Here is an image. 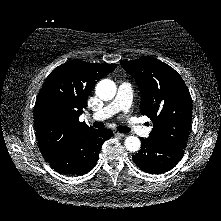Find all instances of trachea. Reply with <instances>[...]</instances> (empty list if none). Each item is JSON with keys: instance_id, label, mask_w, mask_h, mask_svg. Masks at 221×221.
<instances>
[{"instance_id": "1", "label": "trachea", "mask_w": 221, "mask_h": 221, "mask_svg": "<svg viewBox=\"0 0 221 221\" xmlns=\"http://www.w3.org/2000/svg\"><path fill=\"white\" fill-rule=\"evenodd\" d=\"M103 126H104V123H102V122H94L93 123V127H95V128H102ZM117 129L119 132H122V133H129L130 132V128L125 127V126H118Z\"/></svg>"}]
</instances>
